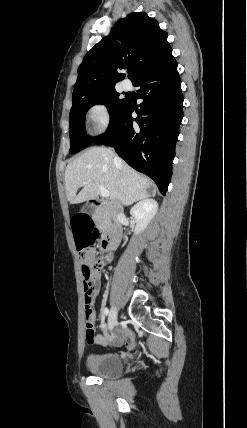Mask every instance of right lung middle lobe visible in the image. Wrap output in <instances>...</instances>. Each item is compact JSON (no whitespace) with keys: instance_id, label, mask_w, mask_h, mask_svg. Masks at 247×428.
<instances>
[{"instance_id":"right-lung-middle-lobe-1","label":"right lung middle lobe","mask_w":247,"mask_h":428,"mask_svg":"<svg viewBox=\"0 0 247 428\" xmlns=\"http://www.w3.org/2000/svg\"><path fill=\"white\" fill-rule=\"evenodd\" d=\"M127 101V98H119V93L116 92L115 88L95 92L73 100V105L69 114L70 153L74 154L84 149L98 138L95 137L92 139L85 133L84 118L90 107L95 104H104L110 114V127L119 116Z\"/></svg>"}]
</instances>
